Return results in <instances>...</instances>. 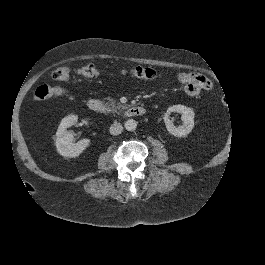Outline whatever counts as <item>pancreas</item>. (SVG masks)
I'll list each match as a JSON object with an SVG mask.
<instances>
[{
  "label": "pancreas",
  "mask_w": 265,
  "mask_h": 265,
  "mask_svg": "<svg viewBox=\"0 0 265 265\" xmlns=\"http://www.w3.org/2000/svg\"><path fill=\"white\" fill-rule=\"evenodd\" d=\"M107 105V112H123L125 109L128 108L127 105H122L120 102H116L115 99L112 97L108 98Z\"/></svg>",
  "instance_id": "cf45deb5"
}]
</instances>
